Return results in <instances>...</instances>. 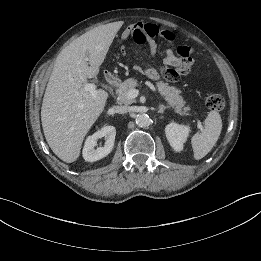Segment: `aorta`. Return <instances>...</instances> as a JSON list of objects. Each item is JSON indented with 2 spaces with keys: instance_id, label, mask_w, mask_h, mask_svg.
<instances>
[{
  "instance_id": "762f6f07",
  "label": "aorta",
  "mask_w": 261,
  "mask_h": 261,
  "mask_svg": "<svg viewBox=\"0 0 261 261\" xmlns=\"http://www.w3.org/2000/svg\"><path fill=\"white\" fill-rule=\"evenodd\" d=\"M135 122L139 127H146L150 123V118L145 113H140L136 116Z\"/></svg>"
}]
</instances>
